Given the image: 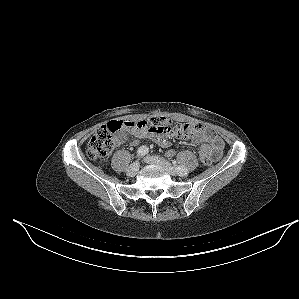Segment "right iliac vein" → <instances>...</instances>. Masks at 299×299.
Instances as JSON below:
<instances>
[{
  "instance_id": "63e3f726",
  "label": "right iliac vein",
  "mask_w": 299,
  "mask_h": 299,
  "mask_svg": "<svg viewBox=\"0 0 299 299\" xmlns=\"http://www.w3.org/2000/svg\"><path fill=\"white\" fill-rule=\"evenodd\" d=\"M139 170V163L135 162L130 165V167L127 169L126 173L128 176L133 177L137 174Z\"/></svg>"
}]
</instances>
